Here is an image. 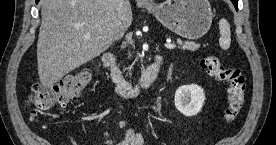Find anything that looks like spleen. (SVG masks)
<instances>
[{
	"label": "spleen",
	"instance_id": "3e777b00",
	"mask_svg": "<svg viewBox=\"0 0 276 145\" xmlns=\"http://www.w3.org/2000/svg\"><path fill=\"white\" fill-rule=\"evenodd\" d=\"M219 31L221 35L219 39V45L222 49L227 50L231 43V31L230 25L226 19H221L219 21Z\"/></svg>",
	"mask_w": 276,
	"mask_h": 145
}]
</instances>
